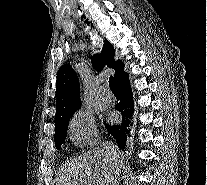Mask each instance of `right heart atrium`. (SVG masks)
Returning <instances> with one entry per match:
<instances>
[{
  "instance_id": "right-heart-atrium-1",
  "label": "right heart atrium",
  "mask_w": 207,
  "mask_h": 185,
  "mask_svg": "<svg viewBox=\"0 0 207 185\" xmlns=\"http://www.w3.org/2000/svg\"><path fill=\"white\" fill-rule=\"evenodd\" d=\"M68 134L78 147L95 145L99 140V134L92 113L87 110L76 111L68 122Z\"/></svg>"
}]
</instances>
